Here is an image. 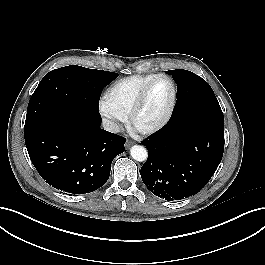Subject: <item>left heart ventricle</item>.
<instances>
[{"mask_svg":"<svg viewBox=\"0 0 265 265\" xmlns=\"http://www.w3.org/2000/svg\"><path fill=\"white\" fill-rule=\"evenodd\" d=\"M172 99V86L167 79H158L152 86L148 98L136 124L138 127H149L159 122L165 115Z\"/></svg>","mask_w":265,"mask_h":265,"instance_id":"left-heart-ventricle-1","label":"left heart ventricle"}]
</instances>
